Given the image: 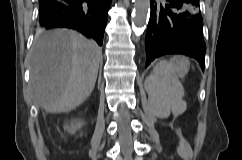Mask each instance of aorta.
Returning <instances> with one entry per match:
<instances>
[{
	"instance_id": "aorta-1",
	"label": "aorta",
	"mask_w": 242,
	"mask_h": 160,
	"mask_svg": "<svg viewBox=\"0 0 242 160\" xmlns=\"http://www.w3.org/2000/svg\"><path fill=\"white\" fill-rule=\"evenodd\" d=\"M133 23L137 28L146 26L150 15V0H133Z\"/></svg>"
}]
</instances>
